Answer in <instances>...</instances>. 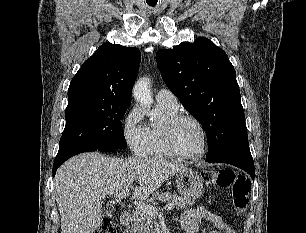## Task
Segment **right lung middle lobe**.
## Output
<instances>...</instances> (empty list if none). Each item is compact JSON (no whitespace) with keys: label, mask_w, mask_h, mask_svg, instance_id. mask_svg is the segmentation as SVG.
I'll use <instances>...</instances> for the list:
<instances>
[{"label":"right lung middle lobe","mask_w":306,"mask_h":233,"mask_svg":"<svg viewBox=\"0 0 306 233\" xmlns=\"http://www.w3.org/2000/svg\"><path fill=\"white\" fill-rule=\"evenodd\" d=\"M129 104L80 100L68 104L57 158L89 148H126L121 119Z\"/></svg>","instance_id":"obj_1"}]
</instances>
